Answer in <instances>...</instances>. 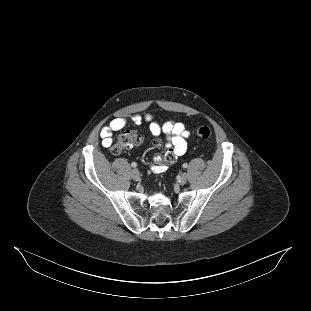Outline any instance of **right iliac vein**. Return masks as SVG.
Here are the masks:
<instances>
[{
    "instance_id": "1",
    "label": "right iliac vein",
    "mask_w": 311,
    "mask_h": 311,
    "mask_svg": "<svg viewBox=\"0 0 311 311\" xmlns=\"http://www.w3.org/2000/svg\"><path fill=\"white\" fill-rule=\"evenodd\" d=\"M131 176H132L133 180H135V181L140 180V173L137 169L132 170Z\"/></svg>"
}]
</instances>
